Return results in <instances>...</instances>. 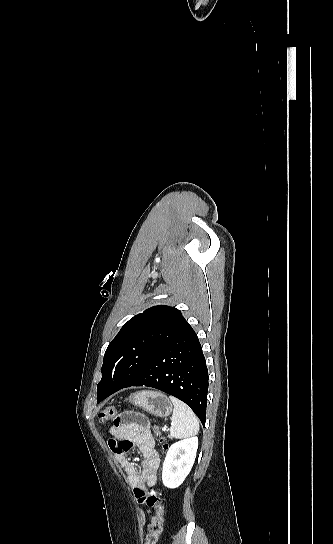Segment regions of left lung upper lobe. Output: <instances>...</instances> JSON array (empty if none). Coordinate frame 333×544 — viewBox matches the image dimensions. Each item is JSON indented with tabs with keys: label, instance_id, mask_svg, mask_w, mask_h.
Listing matches in <instances>:
<instances>
[{
	"label": "left lung upper lobe",
	"instance_id": "left-lung-upper-lobe-1",
	"mask_svg": "<svg viewBox=\"0 0 333 544\" xmlns=\"http://www.w3.org/2000/svg\"><path fill=\"white\" fill-rule=\"evenodd\" d=\"M181 311L153 306L127 321L104 355L100 392H114L138 376L157 351L182 327Z\"/></svg>",
	"mask_w": 333,
	"mask_h": 544
}]
</instances>
